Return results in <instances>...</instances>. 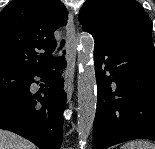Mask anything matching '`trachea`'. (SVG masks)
Instances as JSON below:
<instances>
[{
  "instance_id": "3493384b",
  "label": "trachea",
  "mask_w": 155,
  "mask_h": 149,
  "mask_svg": "<svg viewBox=\"0 0 155 149\" xmlns=\"http://www.w3.org/2000/svg\"><path fill=\"white\" fill-rule=\"evenodd\" d=\"M64 43H65V41H64V40H62V43H61V45L63 46V45H64Z\"/></svg>"
}]
</instances>
